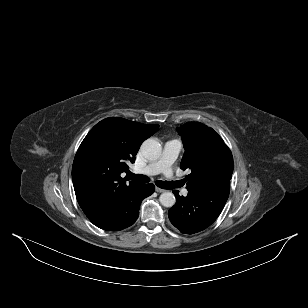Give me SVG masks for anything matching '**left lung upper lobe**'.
Segmentation results:
<instances>
[{
	"label": "left lung upper lobe",
	"instance_id": "left-lung-upper-lobe-1",
	"mask_svg": "<svg viewBox=\"0 0 308 308\" xmlns=\"http://www.w3.org/2000/svg\"><path fill=\"white\" fill-rule=\"evenodd\" d=\"M177 131L185 148L180 168L191 170L186 177L188 191L230 181L234 168L232 153L212 128L188 122Z\"/></svg>",
	"mask_w": 308,
	"mask_h": 308
}]
</instances>
